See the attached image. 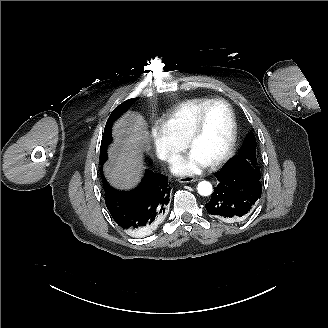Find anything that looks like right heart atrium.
<instances>
[{"label":"right heart atrium","instance_id":"right-heart-atrium-1","mask_svg":"<svg viewBox=\"0 0 328 328\" xmlns=\"http://www.w3.org/2000/svg\"><path fill=\"white\" fill-rule=\"evenodd\" d=\"M148 136L157 156L166 163L173 162L185 149L184 144L174 140L159 122L151 124Z\"/></svg>","mask_w":328,"mask_h":328}]
</instances>
